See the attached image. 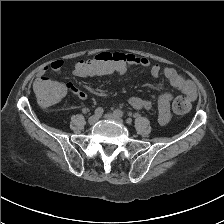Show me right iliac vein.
Instances as JSON below:
<instances>
[{"mask_svg":"<svg viewBox=\"0 0 224 224\" xmlns=\"http://www.w3.org/2000/svg\"><path fill=\"white\" fill-rule=\"evenodd\" d=\"M98 121V117L96 115H93L91 117H89L88 122L89 124L93 125Z\"/></svg>","mask_w":224,"mask_h":224,"instance_id":"63e3f726","label":"right iliac vein"}]
</instances>
